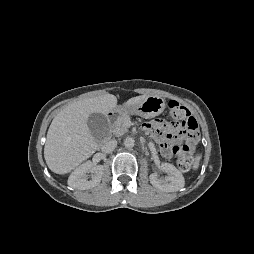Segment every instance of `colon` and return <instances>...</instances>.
Returning <instances> with one entry per match:
<instances>
[{"mask_svg":"<svg viewBox=\"0 0 254 254\" xmlns=\"http://www.w3.org/2000/svg\"><path fill=\"white\" fill-rule=\"evenodd\" d=\"M167 114L169 117L167 125L179 127L174 134V148L179 169L187 172L193 164L191 152L193 151V145L199 137L198 123L190 115L187 107L175 100L168 102Z\"/></svg>","mask_w":254,"mask_h":254,"instance_id":"1","label":"colon"}]
</instances>
